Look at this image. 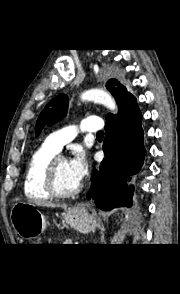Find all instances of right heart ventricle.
<instances>
[{"instance_id":"1","label":"right heart ventricle","mask_w":180,"mask_h":294,"mask_svg":"<svg viewBox=\"0 0 180 294\" xmlns=\"http://www.w3.org/2000/svg\"><path fill=\"white\" fill-rule=\"evenodd\" d=\"M57 152L43 144L30 157L24 179V193L37 200H50L52 197L44 188V173Z\"/></svg>"}]
</instances>
